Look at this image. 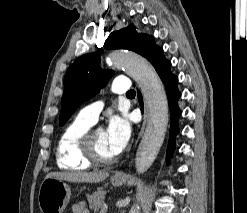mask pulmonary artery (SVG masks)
Returning <instances> with one entry per match:
<instances>
[{"mask_svg":"<svg viewBox=\"0 0 247 213\" xmlns=\"http://www.w3.org/2000/svg\"><path fill=\"white\" fill-rule=\"evenodd\" d=\"M129 90H130V81L128 78L116 77L114 79L113 85L111 87L112 93L123 94L125 92H128ZM103 106L104 104L101 101L88 105L79 111L78 117L94 124L96 123L98 116L103 109Z\"/></svg>","mask_w":247,"mask_h":213,"instance_id":"1","label":"pulmonary artery"}]
</instances>
